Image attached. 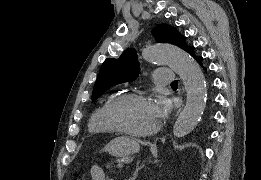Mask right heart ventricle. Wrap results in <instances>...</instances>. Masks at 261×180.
Masks as SVG:
<instances>
[{"label":"right heart ventricle","mask_w":261,"mask_h":180,"mask_svg":"<svg viewBox=\"0 0 261 180\" xmlns=\"http://www.w3.org/2000/svg\"><path fill=\"white\" fill-rule=\"evenodd\" d=\"M117 96L116 93H111L108 95L92 112L87 126L88 133H100V138H91L96 142H104L114 138L111 130L105 121V110L112 102V100Z\"/></svg>","instance_id":"1"}]
</instances>
